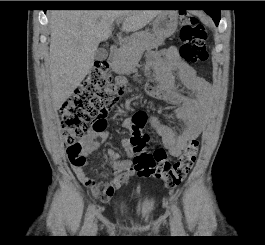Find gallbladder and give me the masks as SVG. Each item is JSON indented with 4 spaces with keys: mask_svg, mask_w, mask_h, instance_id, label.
Returning a JSON list of instances; mask_svg holds the SVG:
<instances>
[{
    "mask_svg": "<svg viewBox=\"0 0 265 245\" xmlns=\"http://www.w3.org/2000/svg\"><path fill=\"white\" fill-rule=\"evenodd\" d=\"M108 52L105 48H98L95 52V59L103 61L107 58Z\"/></svg>",
    "mask_w": 265,
    "mask_h": 245,
    "instance_id": "bac80fb5",
    "label": "gallbladder"
}]
</instances>
